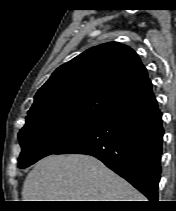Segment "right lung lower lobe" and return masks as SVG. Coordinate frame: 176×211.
I'll use <instances>...</instances> for the list:
<instances>
[{
  "instance_id": "98d812e1",
  "label": "right lung lower lobe",
  "mask_w": 176,
  "mask_h": 211,
  "mask_svg": "<svg viewBox=\"0 0 176 211\" xmlns=\"http://www.w3.org/2000/svg\"><path fill=\"white\" fill-rule=\"evenodd\" d=\"M163 134L162 113L154 97L142 105L107 115L54 154L92 155L150 201L157 202Z\"/></svg>"
}]
</instances>
